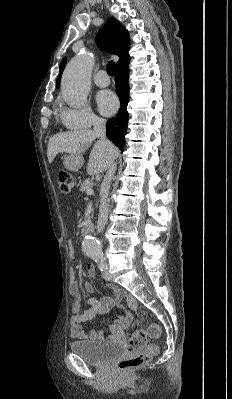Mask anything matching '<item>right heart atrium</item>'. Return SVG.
<instances>
[{
    "instance_id": "obj_1",
    "label": "right heart atrium",
    "mask_w": 232,
    "mask_h": 399,
    "mask_svg": "<svg viewBox=\"0 0 232 399\" xmlns=\"http://www.w3.org/2000/svg\"><path fill=\"white\" fill-rule=\"evenodd\" d=\"M59 117L63 125L68 129L84 130L85 125H91L92 122H102V120L89 107H83L81 109L61 107L59 109Z\"/></svg>"
}]
</instances>
